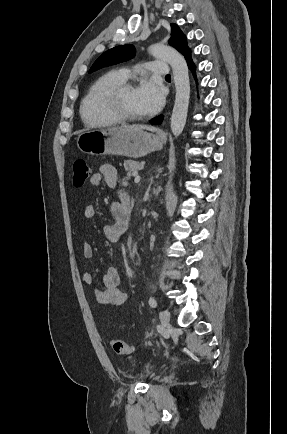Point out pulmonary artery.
Returning a JSON list of instances; mask_svg holds the SVG:
<instances>
[{"mask_svg":"<svg viewBox=\"0 0 287 434\" xmlns=\"http://www.w3.org/2000/svg\"><path fill=\"white\" fill-rule=\"evenodd\" d=\"M138 73L148 72L153 75H167L168 74V64L162 62H147L144 66L137 70ZM122 76L127 79L131 76V71L129 69L121 70Z\"/></svg>","mask_w":287,"mask_h":434,"instance_id":"1","label":"pulmonary artery"}]
</instances>
